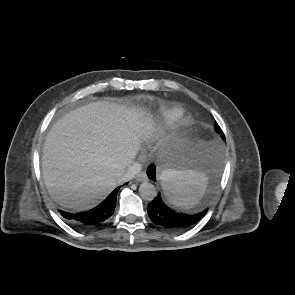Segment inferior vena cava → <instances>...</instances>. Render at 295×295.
Returning <instances> with one entry per match:
<instances>
[{
	"mask_svg": "<svg viewBox=\"0 0 295 295\" xmlns=\"http://www.w3.org/2000/svg\"><path fill=\"white\" fill-rule=\"evenodd\" d=\"M142 167L139 163L134 162L131 165H129V167L127 168V170L125 171V173L123 174V176L121 177L122 181H129L132 178H134V176L136 174H138L141 171Z\"/></svg>",
	"mask_w": 295,
	"mask_h": 295,
	"instance_id": "1",
	"label": "inferior vena cava"
}]
</instances>
